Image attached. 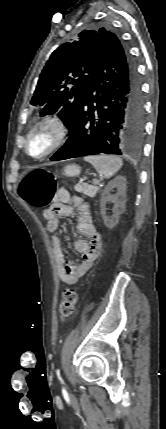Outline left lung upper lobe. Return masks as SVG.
<instances>
[{"instance_id": "left-lung-upper-lobe-1", "label": "left lung upper lobe", "mask_w": 166, "mask_h": 429, "mask_svg": "<svg viewBox=\"0 0 166 429\" xmlns=\"http://www.w3.org/2000/svg\"><path fill=\"white\" fill-rule=\"evenodd\" d=\"M112 35L104 28L84 30L51 54L31 100L32 105L43 108L41 116L57 113L68 129L72 126L90 81L94 51L99 42Z\"/></svg>"}]
</instances>
